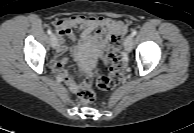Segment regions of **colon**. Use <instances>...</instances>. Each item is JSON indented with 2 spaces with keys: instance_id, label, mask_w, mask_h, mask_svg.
Masks as SVG:
<instances>
[{
  "instance_id": "5ec220e1",
  "label": "colon",
  "mask_w": 194,
  "mask_h": 133,
  "mask_svg": "<svg viewBox=\"0 0 194 133\" xmlns=\"http://www.w3.org/2000/svg\"><path fill=\"white\" fill-rule=\"evenodd\" d=\"M112 50L107 59L110 62V69L108 75H103L99 71L93 73L92 77L101 90H111L115 88L121 81L123 76V54L121 51L122 37L115 35L111 39ZM94 101V91L91 87L86 86L79 92V102L83 105L89 104Z\"/></svg>"
}]
</instances>
